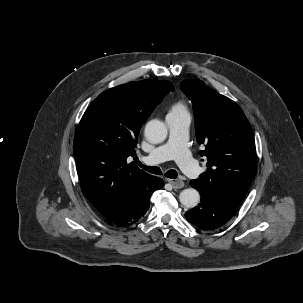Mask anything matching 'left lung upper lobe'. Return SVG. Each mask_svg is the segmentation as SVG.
<instances>
[{
    "label": "left lung upper lobe",
    "instance_id": "obj_1",
    "mask_svg": "<svg viewBox=\"0 0 303 303\" xmlns=\"http://www.w3.org/2000/svg\"><path fill=\"white\" fill-rule=\"evenodd\" d=\"M181 89L193 103L196 138L205 150L207 171L194 180L240 206L256 173L253 131L241 108L200 80Z\"/></svg>",
    "mask_w": 303,
    "mask_h": 303
}]
</instances>
